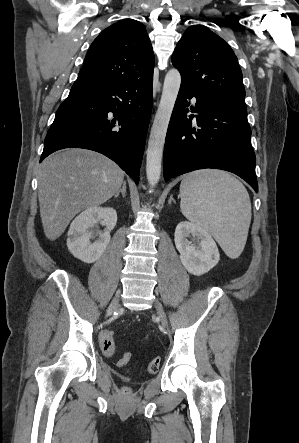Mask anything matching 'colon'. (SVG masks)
<instances>
[{"label":"colon","instance_id":"1","mask_svg":"<svg viewBox=\"0 0 299 443\" xmlns=\"http://www.w3.org/2000/svg\"><path fill=\"white\" fill-rule=\"evenodd\" d=\"M100 344L103 352L108 356H112L115 352L114 333L112 331H104L100 336ZM131 359H132L131 354L129 352H125L118 360V365L127 366L130 364ZM159 366H160V359L153 358L146 365V371L149 373H155L158 371ZM123 391L125 394H129L131 392V389L130 387L125 386L123 388Z\"/></svg>","mask_w":299,"mask_h":443}]
</instances>
